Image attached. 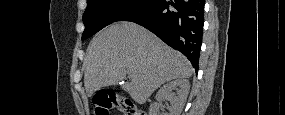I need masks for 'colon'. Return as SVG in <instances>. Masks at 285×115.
Here are the masks:
<instances>
[{
  "mask_svg": "<svg viewBox=\"0 0 285 115\" xmlns=\"http://www.w3.org/2000/svg\"><path fill=\"white\" fill-rule=\"evenodd\" d=\"M111 110H117L124 115H144L136 109L133 102L118 97L112 91H101L94 98V112L96 115H109Z\"/></svg>",
  "mask_w": 285,
  "mask_h": 115,
  "instance_id": "obj_1",
  "label": "colon"
}]
</instances>
